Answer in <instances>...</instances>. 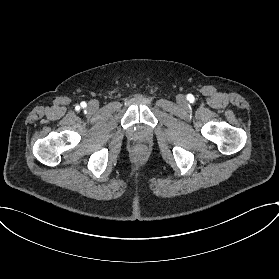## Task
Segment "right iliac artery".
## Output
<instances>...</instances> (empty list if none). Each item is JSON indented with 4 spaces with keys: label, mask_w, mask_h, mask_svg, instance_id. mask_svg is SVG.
<instances>
[{
    "label": "right iliac artery",
    "mask_w": 279,
    "mask_h": 279,
    "mask_svg": "<svg viewBox=\"0 0 279 279\" xmlns=\"http://www.w3.org/2000/svg\"><path fill=\"white\" fill-rule=\"evenodd\" d=\"M82 104H83L82 107H85V106H86V103L83 102Z\"/></svg>",
    "instance_id": "obj_1"
}]
</instances>
